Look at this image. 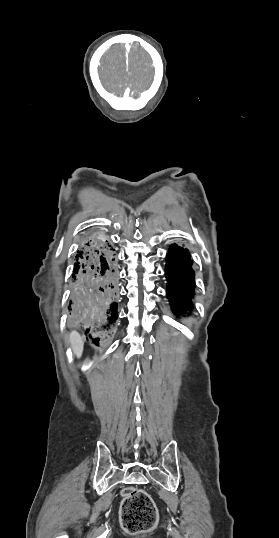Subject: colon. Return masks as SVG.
<instances>
[{
    "instance_id": "colon-1",
    "label": "colon",
    "mask_w": 279,
    "mask_h": 538,
    "mask_svg": "<svg viewBox=\"0 0 279 538\" xmlns=\"http://www.w3.org/2000/svg\"><path fill=\"white\" fill-rule=\"evenodd\" d=\"M121 524L130 534H138L152 529L158 520L154 501L148 493L135 488L123 490Z\"/></svg>"
}]
</instances>
